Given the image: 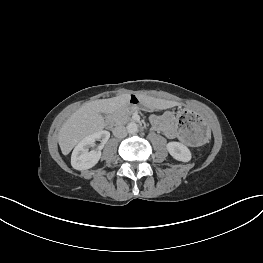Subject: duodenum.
Returning <instances> with one entry per match:
<instances>
[{
    "mask_svg": "<svg viewBox=\"0 0 263 263\" xmlns=\"http://www.w3.org/2000/svg\"><path fill=\"white\" fill-rule=\"evenodd\" d=\"M106 124L108 127L112 128L115 125V121L112 115L107 116L106 118Z\"/></svg>",
    "mask_w": 263,
    "mask_h": 263,
    "instance_id": "duodenum-1",
    "label": "duodenum"
}]
</instances>
